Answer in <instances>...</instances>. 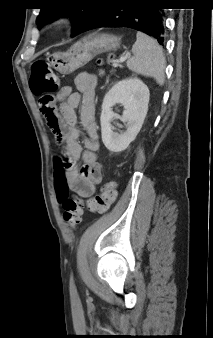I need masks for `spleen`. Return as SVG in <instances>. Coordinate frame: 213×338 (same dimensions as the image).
Listing matches in <instances>:
<instances>
[{
    "label": "spleen",
    "instance_id": "obj_1",
    "mask_svg": "<svg viewBox=\"0 0 213 338\" xmlns=\"http://www.w3.org/2000/svg\"><path fill=\"white\" fill-rule=\"evenodd\" d=\"M132 52L133 56L128 59L127 67L137 74L152 77L159 85H163L166 60L158 43L148 35L137 32Z\"/></svg>",
    "mask_w": 213,
    "mask_h": 338
}]
</instances>
